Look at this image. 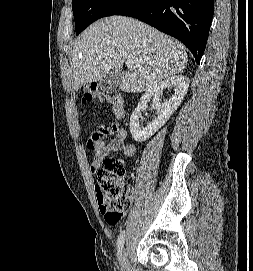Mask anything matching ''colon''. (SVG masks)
I'll use <instances>...</instances> for the list:
<instances>
[{
	"label": "colon",
	"instance_id": "obj_1",
	"mask_svg": "<svg viewBox=\"0 0 253 271\" xmlns=\"http://www.w3.org/2000/svg\"><path fill=\"white\" fill-rule=\"evenodd\" d=\"M95 99L111 104L117 116L123 114V102L119 93L105 92L99 86L91 85L84 91L82 100L87 103ZM123 175L124 164L117 158H105L97 171V198L105 220L110 225H115L122 219L124 210L133 197V188L122 181Z\"/></svg>",
	"mask_w": 253,
	"mask_h": 271
}]
</instances>
